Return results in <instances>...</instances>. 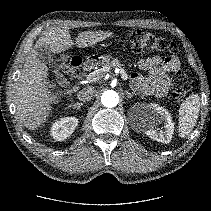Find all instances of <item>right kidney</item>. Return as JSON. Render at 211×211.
<instances>
[{
	"instance_id": "right-kidney-1",
	"label": "right kidney",
	"mask_w": 211,
	"mask_h": 211,
	"mask_svg": "<svg viewBox=\"0 0 211 211\" xmlns=\"http://www.w3.org/2000/svg\"><path fill=\"white\" fill-rule=\"evenodd\" d=\"M78 125L76 117H64L53 123L50 135L56 140L61 141L69 137Z\"/></svg>"
}]
</instances>
